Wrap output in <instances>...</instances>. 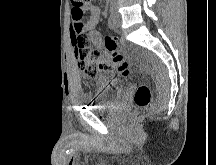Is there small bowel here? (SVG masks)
Segmentation results:
<instances>
[{
	"mask_svg": "<svg viewBox=\"0 0 216 165\" xmlns=\"http://www.w3.org/2000/svg\"><path fill=\"white\" fill-rule=\"evenodd\" d=\"M84 10L82 11L81 8H74L72 9L71 13V22H70V29H69V36L72 42V45L75 49V56L77 58V51L75 48V40L76 38L83 34L87 33L90 38L92 45L95 49L101 48V36L98 31L94 28L97 26L101 20L102 11L100 8L92 6L89 8V17L87 18L86 22L82 21Z\"/></svg>",
	"mask_w": 216,
	"mask_h": 165,
	"instance_id": "obj_1",
	"label": "small bowel"
}]
</instances>
